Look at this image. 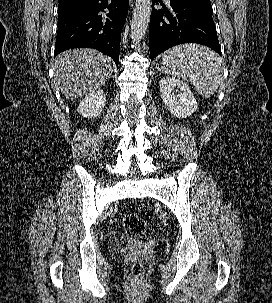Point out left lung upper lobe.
Wrapping results in <instances>:
<instances>
[{
  "label": "left lung upper lobe",
  "instance_id": "left-lung-upper-lobe-1",
  "mask_svg": "<svg viewBox=\"0 0 272 303\" xmlns=\"http://www.w3.org/2000/svg\"><path fill=\"white\" fill-rule=\"evenodd\" d=\"M197 1H205V2H210V0H197Z\"/></svg>",
  "mask_w": 272,
  "mask_h": 303
}]
</instances>
